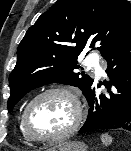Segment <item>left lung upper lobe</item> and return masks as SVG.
<instances>
[{"label":"left lung upper lobe","instance_id":"left-lung-upper-lobe-1","mask_svg":"<svg viewBox=\"0 0 131 151\" xmlns=\"http://www.w3.org/2000/svg\"><path fill=\"white\" fill-rule=\"evenodd\" d=\"M130 39L131 7L126 0H57L18 46L8 111L30 90L48 83L76 86L86 95L94 80L76 72L81 52L97 46L105 58Z\"/></svg>","mask_w":131,"mask_h":151}]
</instances>
